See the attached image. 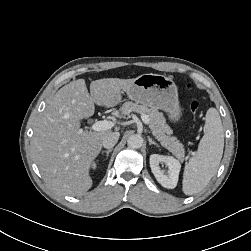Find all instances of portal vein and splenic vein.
<instances>
[{
	"mask_svg": "<svg viewBox=\"0 0 251 251\" xmlns=\"http://www.w3.org/2000/svg\"><path fill=\"white\" fill-rule=\"evenodd\" d=\"M141 119L145 124H149V117L146 114H141ZM114 126L112 121H96L92 126L91 130L93 131H106L111 129Z\"/></svg>",
	"mask_w": 251,
	"mask_h": 251,
	"instance_id": "1",
	"label": "portal vein and splenic vein"
}]
</instances>
